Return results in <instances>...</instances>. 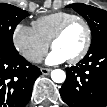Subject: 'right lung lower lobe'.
<instances>
[{
  "mask_svg": "<svg viewBox=\"0 0 107 107\" xmlns=\"http://www.w3.org/2000/svg\"><path fill=\"white\" fill-rule=\"evenodd\" d=\"M39 75L40 69L21 55L0 52V107H25Z\"/></svg>",
  "mask_w": 107,
  "mask_h": 107,
  "instance_id": "98d812e1",
  "label": "right lung lower lobe"
}]
</instances>
